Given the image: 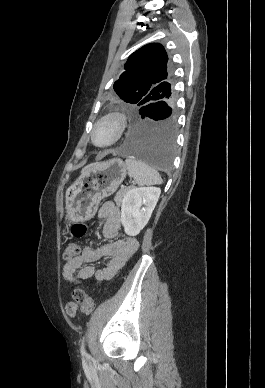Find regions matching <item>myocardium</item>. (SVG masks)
Masks as SVG:
<instances>
[{
	"label": "myocardium",
	"mask_w": 265,
	"mask_h": 388,
	"mask_svg": "<svg viewBox=\"0 0 265 388\" xmlns=\"http://www.w3.org/2000/svg\"><path fill=\"white\" fill-rule=\"evenodd\" d=\"M103 125H109L111 137L107 141L100 143L98 146L108 147L118 142L123 136L127 126V118L120 112H109L98 120L95 129L98 130Z\"/></svg>",
	"instance_id": "myocardium-1"
}]
</instances>
